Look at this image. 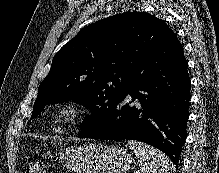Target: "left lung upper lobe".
<instances>
[{"label":"left lung upper lobe","mask_w":219,"mask_h":173,"mask_svg":"<svg viewBox=\"0 0 219 173\" xmlns=\"http://www.w3.org/2000/svg\"><path fill=\"white\" fill-rule=\"evenodd\" d=\"M171 32L163 20L145 12L122 13L85 27L54 56L31 118L48 104L73 100L92 110L79 135L97 131L130 91L134 67Z\"/></svg>","instance_id":"5c2ea615"}]
</instances>
